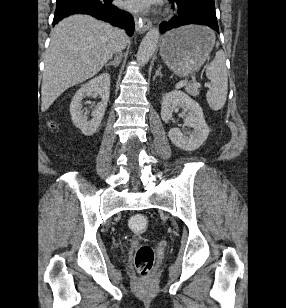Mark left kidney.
Listing matches in <instances>:
<instances>
[{"label":"left kidney","instance_id":"5707ae66","mask_svg":"<svg viewBox=\"0 0 286 308\" xmlns=\"http://www.w3.org/2000/svg\"><path fill=\"white\" fill-rule=\"evenodd\" d=\"M179 108L187 111L185 124L193 128V131L184 135L179 128H172L168 132L171 142L185 151L198 149L209 134V127L204 119L200 105L182 91H171L163 96L161 104V118L164 122L172 120L173 113Z\"/></svg>","mask_w":286,"mask_h":308}]
</instances>
